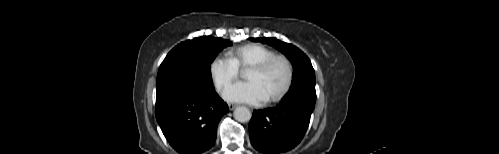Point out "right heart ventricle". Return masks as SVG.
<instances>
[{
    "label": "right heart ventricle",
    "instance_id": "right-heart-ventricle-1",
    "mask_svg": "<svg viewBox=\"0 0 499 154\" xmlns=\"http://www.w3.org/2000/svg\"><path fill=\"white\" fill-rule=\"evenodd\" d=\"M273 54H275V51L265 45L249 43L230 50L227 53V57L239 69L244 70L272 56Z\"/></svg>",
    "mask_w": 499,
    "mask_h": 154
}]
</instances>
